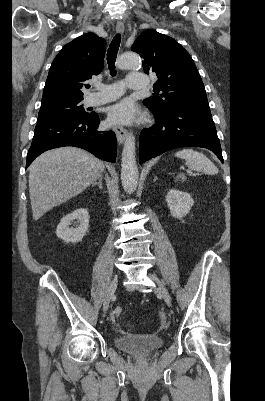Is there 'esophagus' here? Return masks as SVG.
I'll return each instance as SVG.
<instances>
[{"mask_svg":"<svg viewBox=\"0 0 265 401\" xmlns=\"http://www.w3.org/2000/svg\"><path fill=\"white\" fill-rule=\"evenodd\" d=\"M116 31L117 33L121 34L124 32V24L122 22H117L116 25ZM113 131L116 134L117 140L120 144L123 143V141L125 140V138L127 137V131L126 129H124L122 126L120 125H115L113 127Z\"/></svg>","mask_w":265,"mask_h":401,"instance_id":"1","label":"esophagus"}]
</instances>
